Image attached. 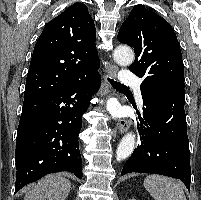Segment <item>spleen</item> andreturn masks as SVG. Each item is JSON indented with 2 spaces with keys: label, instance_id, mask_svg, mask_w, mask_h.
Here are the masks:
<instances>
[{
  "label": "spleen",
  "instance_id": "spleen-1",
  "mask_svg": "<svg viewBox=\"0 0 201 200\" xmlns=\"http://www.w3.org/2000/svg\"><path fill=\"white\" fill-rule=\"evenodd\" d=\"M144 187L154 200H186L181 184L165 176H147Z\"/></svg>",
  "mask_w": 201,
  "mask_h": 200
}]
</instances>
